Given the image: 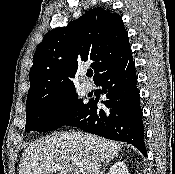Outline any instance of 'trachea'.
Instances as JSON below:
<instances>
[{"label":"trachea","instance_id":"1","mask_svg":"<svg viewBox=\"0 0 175 174\" xmlns=\"http://www.w3.org/2000/svg\"><path fill=\"white\" fill-rule=\"evenodd\" d=\"M92 75H93V71H92V70H89V71L87 72V76L91 77Z\"/></svg>","mask_w":175,"mask_h":174}]
</instances>
